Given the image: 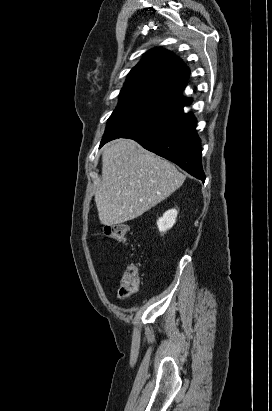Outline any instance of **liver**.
I'll use <instances>...</instances> for the list:
<instances>
[{
  "label": "liver",
  "mask_w": 272,
  "mask_h": 411,
  "mask_svg": "<svg viewBox=\"0 0 272 411\" xmlns=\"http://www.w3.org/2000/svg\"><path fill=\"white\" fill-rule=\"evenodd\" d=\"M185 176L174 164L129 139L107 143L102 152V183L95 191L101 224L113 226L141 216L170 196Z\"/></svg>",
  "instance_id": "1"
}]
</instances>
